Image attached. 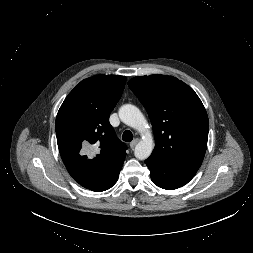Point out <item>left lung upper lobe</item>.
I'll list each match as a JSON object with an SVG mask.
<instances>
[{"mask_svg":"<svg viewBox=\"0 0 253 253\" xmlns=\"http://www.w3.org/2000/svg\"><path fill=\"white\" fill-rule=\"evenodd\" d=\"M128 86L151 120L155 147L149 158L194 176L206 152L209 128L197 94L179 79L165 75L134 77Z\"/></svg>","mask_w":253,"mask_h":253,"instance_id":"1","label":"left lung upper lobe"}]
</instances>
